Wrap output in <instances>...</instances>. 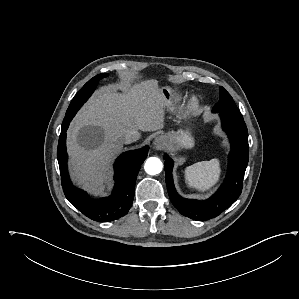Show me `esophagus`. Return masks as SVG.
I'll use <instances>...</instances> for the list:
<instances>
[{"label":"esophagus","instance_id":"34e87169","mask_svg":"<svg viewBox=\"0 0 299 299\" xmlns=\"http://www.w3.org/2000/svg\"><path fill=\"white\" fill-rule=\"evenodd\" d=\"M164 144H165V140H164V138L161 137V136L156 137V138L154 139V141H153V146H154V148L157 149V150L162 149L163 146H164Z\"/></svg>","mask_w":299,"mask_h":299}]
</instances>
